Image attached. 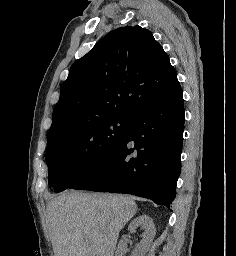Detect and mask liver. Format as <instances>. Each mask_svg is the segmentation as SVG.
<instances>
[{"label":"liver","mask_w":236,"mask_h":256,"mask_svg":"<svg viewBox=\"0 0 236 256\" xmlns=\"http://www.w3.org/2000/svg\"><path fill=\"white\" fill-rule=\"evenodd\" d=\"M136 212L128 196L63 192L46 208L54 256H114L119 234Z\"/></svg>","instance_id":"liver-1"}]
</instances>
